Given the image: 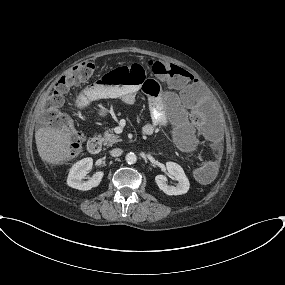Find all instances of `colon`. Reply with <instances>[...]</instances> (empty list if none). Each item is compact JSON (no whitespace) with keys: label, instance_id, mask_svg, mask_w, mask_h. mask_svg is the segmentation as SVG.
Returning <instances> with one entry per match:
<instances>
[{"label":"colon","instance_id":"1","mask_svg":"<svg viewBox=\"0 0 285 285\" xmlns=\"http://www.w3.org/2000/svg\"><path fill=\"white\" fill-rule=\"evenodd\" d=\"M151 72L161 79L175 80L182 73L176 65L158 61H148L145 65ZM145 66L141 63H130L115 70L105 73L99 84L103 87H122L128 83L142 86V90L149 98H158L159 85L155 81L145 80ZM96 72V66L91 61H83L62 76L40 103V115L43 119L57 123H64V97L69 89L89 78ZM191 120L196 125L200 124L198 111H192ZM81 149V140L78 139L70 146L69 153L77 155ZM216 172V166L209 162H201L195 170V175L200 181H209Z\"/></svg>","mask_w":285,"mask_h":285}]
</instances>
